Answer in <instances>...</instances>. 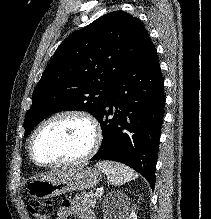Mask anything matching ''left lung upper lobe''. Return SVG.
<instances>
[{
	"instance_id": "left-lung-upper-lobe-1",
	"label": "left lung upper lobe",
	"mask_w": 211,
	"mask_h": 219,
	"mask_svg": "<svg viewBox=\"0 0 211 219\" xmlns=\"http://www.w3.org/2000/svg\"><path fill=\"white\" fill-rule=\"evenodd\" d=\"M148 39L141 21L124 11L105 14L71 34L34 90L24 120L25 136L59 111H87L98 118L115 81Z\"/></svg>"
}]
</instances>
